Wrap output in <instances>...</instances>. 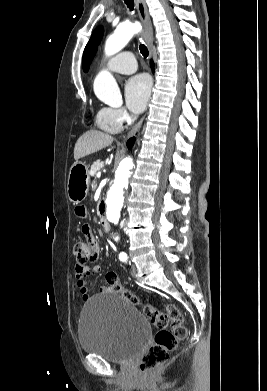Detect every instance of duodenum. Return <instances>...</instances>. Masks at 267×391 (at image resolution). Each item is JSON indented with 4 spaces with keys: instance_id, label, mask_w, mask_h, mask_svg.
Segmentation results:
<instances>
[{
    "instance_id": "obj_1",
    "label": "duodenum",
    "mask_w": 267,
    "mask_h": 391,
    "mask_svg": "<svg viewBox=\"0 0 267 391\" xmlns=\"http://www.w3.org/2000/svg\"><path fill=\"white\" fill-rule=\"evenodd\" d=\"M100 224H101L102 228L105 230H107L109 228V224H108V221L104 215V208L102 205L100 206Z\"/></svg>"
}]
</instances>
